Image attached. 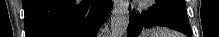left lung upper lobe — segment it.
Masks as SVG:
<instances>
[{"label": "left lung upper lobe", "mask_w": 219, "mask_h": 37, "mask_svg": "<svg viewBox=\"0 0 219 37\" xmlns=\"http://www.w3.org/2000/svg\"><path fill=\"white\" fill-rule=\"evenodd\" d=\"M158 7L172 11L184 23H188L186 6L184 0H156Z\"/></svg>", "instance_id": "1"}]
</instances>
